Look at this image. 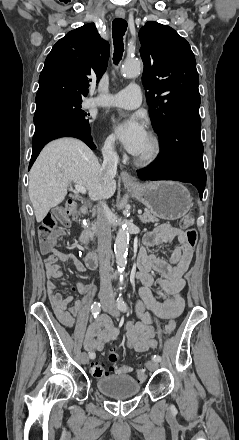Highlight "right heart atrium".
<instances>
[{"label":"right heart atrium","mask_w":239,"mask_h":440,"mask_svg":"<svg viewBox=\"0 0 239 440\" xmlns=\"http://www.w3.org/2000/svg\"><path fill=\"white\" fill-rule=\"evenodd\" d=\"M114 151H115L114 144L111 139H108L105 143V146H104V152L106 154H112V153H114Z\"/></svg>","instance_id":"1"}]
</instances>
